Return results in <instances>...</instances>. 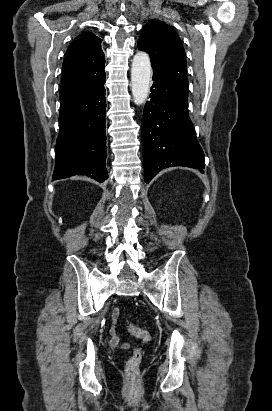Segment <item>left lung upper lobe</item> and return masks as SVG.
<instances>
[{
	"label": "left lung upper lobe",
	"instance_id": "5c2ea615",
	"mask_svg": "<svg viewBox=\"0 0 272 411\" xmlns=\"http://www.w3.org/2000/svg\"><path fill=\"white\" fill-rule=\"evenodd\" d=\"M137 46L149 53L153 72L188 91L185 50L170 26L160 20H150L143 27Z\"/></svg>",
	"mask_w": 272,
	"mask_h": 411
}]
</instances>
